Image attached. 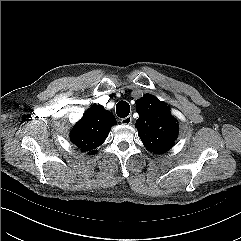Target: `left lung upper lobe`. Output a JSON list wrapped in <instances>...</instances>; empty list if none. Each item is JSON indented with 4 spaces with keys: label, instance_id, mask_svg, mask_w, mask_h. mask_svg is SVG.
<instances>
[{
    "label": "left lung upper lobe",
    "instance_id": "left-lung-upper-lobe-1",
    "mask_svg": "<svg viewBox=\"0 0 241 241\" xmlns=\"http://www.w3.org/2000/svg\"><path fill=\"white\" fill-rule=\"evenodd\" d=\"M136 110L139 114L136 122L138 135L146 148L157 154L171 149L178 136L179 124L168 106L146 94L136 102Z\"/></svg>",
    "mask_w": 241,
    "mask_h": 241
}]
</instances>
